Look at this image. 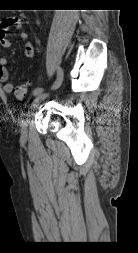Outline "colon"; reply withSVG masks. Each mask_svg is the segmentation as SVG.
<instances>
[{
  "mask_svg": "<svg viewBox=\"0 0 138 253\" xmlns=\"http://www.w3.org/2000/svg\"><path fill=\"white\" fill-rule=\"evenodd\" d=\"M14 95L18 100H25L29 93V85L27 83H21L17 85L14 90Z\"/></svg>",
  "mask_w": 138,
  "mask_h": 253,
  "instance_id": "5ec220e1",
  "label": "colon"
}]
</instances>
